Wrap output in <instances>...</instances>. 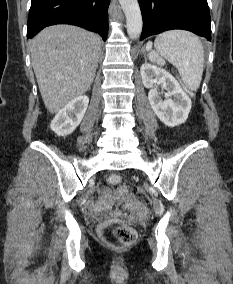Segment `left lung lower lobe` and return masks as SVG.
<instances>
[{"label": "left lung lower lobe", "mask_w": 233, "mask_h": 284, "mask_svg": "<svg viewBox=\"0 0 233 284\" xmlns=\"http://www.w3.org/2000/svg\"><path fill=\"white\" fill-rule=\"evenodd\" d=\"M143 17L141 39L166 30L184 29L211 40L207 0H138Z\"/></svg>", "instance_id": "left-lung-lower-lobe-1"}]
</instances>
